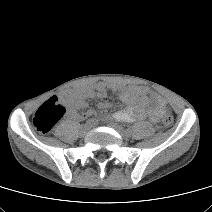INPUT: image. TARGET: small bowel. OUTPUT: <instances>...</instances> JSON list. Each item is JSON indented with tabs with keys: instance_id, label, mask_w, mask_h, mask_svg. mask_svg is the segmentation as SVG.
Wrapping results in <instances>:
<instances>
[{
	"instance_id": "obj_1",
	"label": "small bowel",
	"mask_w": 212,
	"mask_h": 212,
	"mask_svg": "<svg viewBox=\"0 0 212 212\" xmlns=\"http://www.w3.org/2000/svg\"><path fill=\"white\" fill-rule=\"evenodd\" d=\"M108 90H111L126 107L115 112L113 119L121 122H134L149 118L153 122L159 121L165 112V104L162 98L154 95L155 106L149 107L146 91L132 87H123L118 84H106L97 82L93 85L79 87L62 95L63 102L67 105L66 117L68 120H83L92 114L91 110L83 113L78 111L88 105V100L104 98ZM110 106L108 102H100L99 108L106 109Z\"/></svg>"
}]
</instances>
